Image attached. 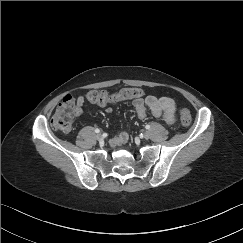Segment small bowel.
<instances>
[{"label":"small bowel","mask_w":243,"mask_h":243,"mask_svg":"<svg viewBox=\"0 0 243 243\" xmlns=\"http://www.w3.org/2000/svg\"><path fill=\"white\" fill-rule=\"evenodd\" d=\"M133 106L139 118H144L148 113L153 117L162 118L164 123L172 125L176 121L175 102L169 97H156L153 95H146L138 99H131ZM78 110L77 114L82 113V106L85 102L84 97L77 98ZM100 107L106 108L108 113H112V108L108 103H97ZM129 139V133L121 132L114 136L113 144L120 146L125 144Z\"/></svg>","instance_id":"small-bowel-1"}]
</instances>
